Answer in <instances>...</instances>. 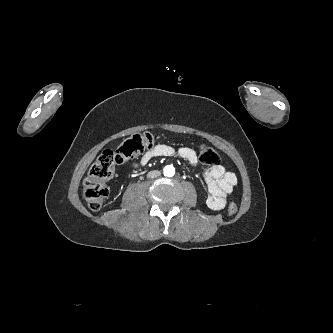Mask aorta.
Segmentation results:
<instances>
[{"mask_svg": "<svg viewBox=\"0 0 333 333\" xmlns=\"http://www.w3.org/2000/svg\"><path fill=\"white\" fill-rule=\"evenodd\" d=\"M175 174V168L173 165H167L164 167V175L167 177H172Z\"/></svg>", "mask_w": 333, "mask_h": 333, "instance_id": "1", "label": "aorta"}]
</instances>
